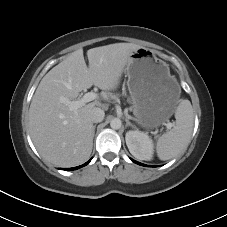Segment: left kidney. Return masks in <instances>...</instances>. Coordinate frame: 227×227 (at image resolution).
<instances>
[{
    "label": "left kidney",
    "mask_w": 227,
    "mask_h": 227,
    "mask_svg": "<svg viewBox=\"0 0 227 227\" xmlns=\"http://www.w3.org/2000/svg\"><path fill=\"white\" fill-rule=\"evenodd\" d=\"M130 153L140 160H151L153 157V142L149 136L140 131H128L125 136Z\"/></svg>",
    "instance_id": "left-kidney-1"
}]
</instances>
